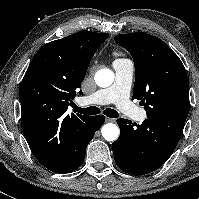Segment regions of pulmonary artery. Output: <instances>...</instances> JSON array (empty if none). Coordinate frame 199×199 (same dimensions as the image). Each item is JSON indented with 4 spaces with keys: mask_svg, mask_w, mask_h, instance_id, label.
Returning <instances> with one entry per match:
<instances>
[{
    "mask_svg": "<svg viewBox=\"0 0 199 199\" xmlns=\"http://www.w3.org/2000/svg\"><path fill=\"white\" fill-rule=\"evenodd\" d=\"M115 80L111 87L97 91L79 99L81 104H115L122 112L132 118L143 121L146 112L130 101V90L134 74V65L128 59H116L113 63Z\"/></svg>",
    "mask_w": 199,
    "mask_h": 199,
    "instance_id": "1",
    "label": "pulmonary artery"
}]
</instances>
